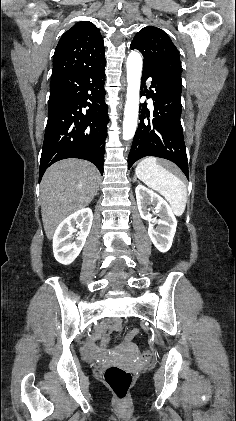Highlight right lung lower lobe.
<instances>
[{
  "label": "right lung lower lobe",
  "instance_id": "1",
  "mask_svg": "<svg viewBox=\"0 0 236 421\" xmlns=\"http://www.w3.org/2000/svg\"><path fill=\"white\" fill-rule=\"evenodd\" d=\"M105 64L51 79L48 121L40 159L45 170L65 158L85 159L103 174L108 106L104 102ZM83 107L89 109L82 111Z\"/></svg>",
  "mask_w": 236,
  "mask_h": 421
}]
</instances>
